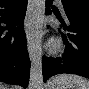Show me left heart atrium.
Listing matches in <instances>:
<instances>
[{"label":"left heart atrium","instance_id":"39dd6f15","mask_svg":"<svg viewBox=\"0 0 89 89\" xmlns=\"http://www.w3.org/2000/svg\"><path fill=\"white\" fill-rule=\"evenodd\" d=\"M30 24L33 26V19H31V23Z\"/></svg>","mask_w":89,"mask_h":89}]
</instances>
